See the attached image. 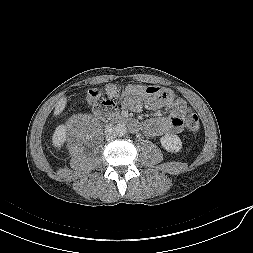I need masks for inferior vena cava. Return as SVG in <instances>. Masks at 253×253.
Wrapping results in <instances>:
<instances>
[{
    "label": "inferior vena cava",
    "mask_w": 253,
    "mask_h": 253,
    "mask_svg": "<svg viewBox=\"0 0 253 253\" xmlns=\"http://www.w3.org/2000/svg\"><path fill=\"white\" fill-rule=\"evenodd\" d=\"M104 133L107 138H114L116 136L114 127L112 125H107Z\"/></svg>",
    "instance_id": "inferior-vena-cava-1"
}]
</instances>
